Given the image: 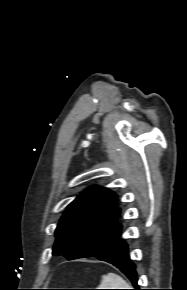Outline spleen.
Wrapping results in <instances>:
<instances>
[{
  "label": "spleen",
  "instance_id": "1",
  "mask_svg": "<svg viewBox=\"0 0 187 290\" xmlns=\"http://www.w3.org/2000/svg\"><path fill=\"white\" fill-rule=\"evenodd\" d=\"M129 284L119 275L108 273L102 276L99 289H128Z\"/></svg>",
  "mask_w": 187,
  "mask_h": 290
}]
</instances>
